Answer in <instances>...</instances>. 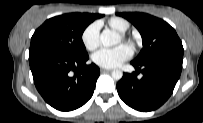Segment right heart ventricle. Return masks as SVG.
<instances>
[{
  "instance_id": "right-heart-ventricle-1",
  "label": "right heart ventricle",
  "mask_w": 203,
  "mask_h": 123,
  "mask_svg": "<svg viewBox=\"0 0 203 123\" xmlns=\"http://www.w3.org/2000/svg\"><path fill=\"white\" fill-rule=\"evenodd\" d=\"M108 24L120 33H125L129 29L128 21L120 17H112L109 19Z\"/></svg>"
}]
</instances>
